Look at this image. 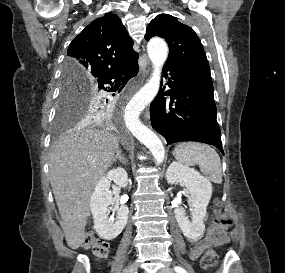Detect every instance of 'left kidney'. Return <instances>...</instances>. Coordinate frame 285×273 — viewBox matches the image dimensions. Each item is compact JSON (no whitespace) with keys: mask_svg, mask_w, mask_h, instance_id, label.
<instances>
[{"mask_svg":"<svg viewBox=\"0 0 285 273\" xmlns=\"http://www.w3.org/2000/svg\"><path fill=\"white\" fill-rule=\"evenodd\" d=\"M166 177L168 184H183L191 196L189 202L192 207V221L188 220L181 207H176L174 213L183 235L196 242L204 234V218L212 196V185L196 170L175 161L168 167Z\"/></svg>","mask_w":285,"mask_h":273,"instance_id":"1","label":"left kidney"}]
</instances>
